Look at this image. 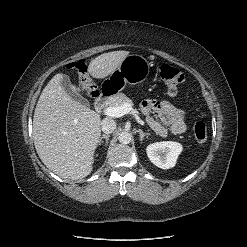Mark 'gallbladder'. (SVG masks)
<instances>
[{
    "instance_id": "1",
    "label": "gallbladder",
    "mask_w": 247,
    "mask_h": 247,
    "mask_svg": "<svg viewBox=\"0 0 247 247\" xmlns=\"http://www.w3.org/2000/svg\"><path fill=\"white\" fill-rule=\"evenodd\" d=\"M60 85L66 91V93L70 97H72L74 100L80 102L81 104H83V105H85L87 107L90 106L88 100L82 98L76 92L73 91V89L71 88L72 84H71L70 79H69V77L67 75H62V79H61Z\"/></svg>"
}]
</instances>
